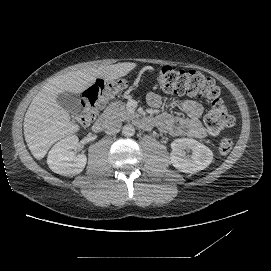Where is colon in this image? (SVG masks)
Here are the masks:
<instances>
[{
  "label": "colon",
  "mask_w": 271,
  "mask_h": 271,
  "mask_svg": "<svg viewBox=\"0 0 271 271\" xmlns=\"http://www.w3.org/2000/svg\"><path fill=\"white\" fill-rule=\"evenodd\" d=\"M127 84L125 79L113 81L97 79L84 95L80 113L76 117L77 122L82 126L90 125L98 110L115 93L124 90ZM156 86L166 93L199 96L207 99L211 104V108L204 118V129L209 136L219 134L235 122L220 98L219 87L213 79L199 71H186L163 66L156 75ZM232 147L233 140L224 137L219 142L218 151L221 155H226L231 151Z\"/></svg>",
  "instance_id": "5ec220e1"
}]
</instances>
